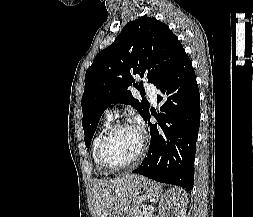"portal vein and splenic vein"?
Wrapping results in <instances>:
<instances>
[{
  "label": "portal vein and splenic vein",
  "mask_w": 253,
  "mask_h": 217,
  "mask_svg": "<svg viewBox=\"0 0 253 217\" xmlns=\"http://www.w3.org/2000/svg\"><path fill=\"white\" fill-rule=\"evenodd\" d=\"M150 211H153V207L152 206H149V207L145 208L144 209V214L148 215Z\"/></svg>",
  "instance_id": "obj_1"
}]
</instances>
